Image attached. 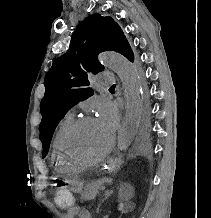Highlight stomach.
Wrapping results in <instances>:
<instances>
[{
    "mask_svg": "<svg viewBox=\"0 0 211 218\" xmlns=\"http://www.w3.org/2000/svg\"><path fill=\"white\" fill-rule=\"evenodd\" d=\"M115 169L113 164L108 165V172H112ZM65 183L69 187V189L73 192L79 193L82 192L84 187L83 181H81L77 176H69L65 179Z\"/></svg>",
    "mask_w": 211,
    "mask_h": 218,
    "instance_id": "0dacf381",
    "label": "stomach"
}]
</instances>
